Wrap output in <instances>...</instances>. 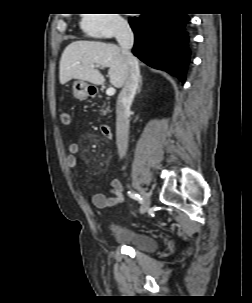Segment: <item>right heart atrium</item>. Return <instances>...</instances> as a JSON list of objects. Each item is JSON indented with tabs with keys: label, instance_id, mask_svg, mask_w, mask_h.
Returning <instances> with one entry per match:
<instances>
[{
	"label": "right heart atrium",
	"instance_id": "d8ad5b80",
	"mask_svg": "<svg viewBox=\"0 0 252 303\" xmlns=\"http://www.w3.org/2000/svg\"><path fill=\"white\" fill-rule=\"evenodd\" d=\"M80 23L84 30L98 39L123 36L129 31L128 23L118 14H85Z\"/></svg>",
	"mask_w": 252,
	"mask_h": 303
}]
</instances>
